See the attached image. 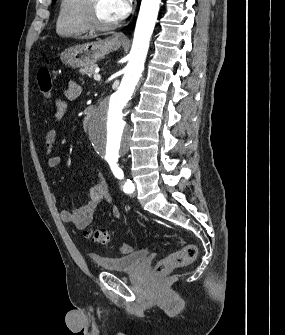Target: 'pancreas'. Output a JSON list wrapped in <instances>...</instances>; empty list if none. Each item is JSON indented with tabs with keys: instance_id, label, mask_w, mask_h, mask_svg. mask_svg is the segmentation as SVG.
Wrapping results in <instances>:
<instances>
[{
	"instance_id": "cf45deb5",
	"label": "pancreas",
	"mask_w": 285,
	"mask_h": 335,
	"mask_svg": "<svg viewBox=\"0 0 285 335\" xmlns=\"http://www.w3.org/2000/svg\"><path fill=\"white\" fill-rule=\"evenodd\" d=\"M97 66L98 64H90V66H84V68H81L80 74H82L85 81H88L90 79L89 74H94Z\"/></svg>"
}]
</instances>
